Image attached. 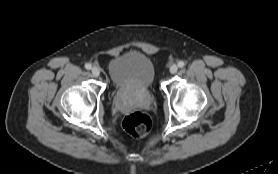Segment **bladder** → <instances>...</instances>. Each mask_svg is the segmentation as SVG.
<instances>
[{"label":"bladder","mask_w":278,"mask_h":174,"mask_svg":"<svg viewBox=\"0 0 278 174\" xmlns=\"http://www.w3.org/2000/svg\"><path fill=\"white\" fill-rule=\"evenodd\" d=\"M108 72L117 92L125 94L149 93L154 84V67L144 54L129 50L112 58Z\"/></svg>","instance_id":"obj_1"}]
</instances>
